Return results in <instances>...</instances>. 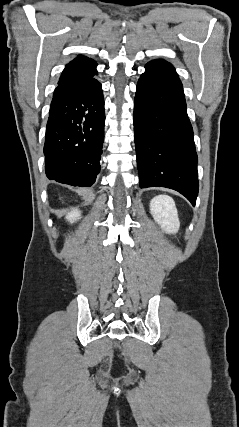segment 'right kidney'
<instances>
[{"label": "right kidney", "mask_w": 239, "mask_h": 427, "mask_svg": "<svg viewBox=\"0 0 239 427\" xmlns=\"http://www.w3.org/2000/svg\"><path fill=\"white\" fill-rule=\"evenodd\" d=\"M80 218H81V212L78 209H73L72 211L68 212L66 215V219L70 223H74Z\"/></svg>", "instance_id": "obj_1"}]
</instances>
